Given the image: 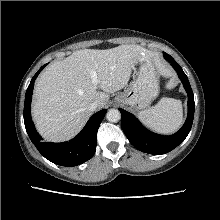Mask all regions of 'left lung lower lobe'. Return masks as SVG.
Segmentation results:
<instances>
[{"instance_id": "left-lung-lower-lobe-1", "label": "left lung lower lobe", "mask_w": 220, "mask_h": 220, "mask_svg": "<svg viewBox=\"0 0 220 220\" xmlns=\"http://www.w3.org/2000/svg\"><path fill=\"white\" fill-rule=\"evenodd\" d=\"M163 56L177 72L188 94V116L182 128L170 136L155 134L144 128L134 115L119 109L122 115L121 126L130 143L138 150L154 155L168 153L181 144L189 134L194 118V95L189 80L180 65L169 54L163 53Z\"/></svg>"}]
</instances>
